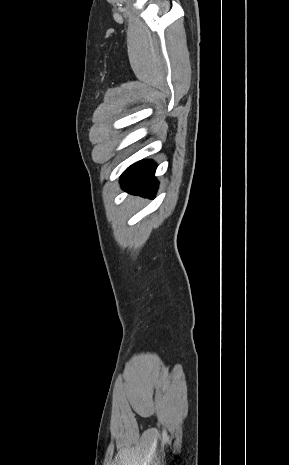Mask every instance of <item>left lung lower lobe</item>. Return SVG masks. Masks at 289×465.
Returning <instances> with one entry per match:
<instances>
[{"label":"left lung lower lobe","instance_id":"1","mask_svg":"<svg viewBox=\"0 0 289 465\" xmlns=\"http://www.w3.org/2000/svg\"><path fill=\"white\" fill-rule=\"evenodd\" d=\"M155 169L156 165L152 160H142L131 165L121 175L122 189L135 195L154 198L158 188Z\"/></svg>","mask_w":289,"mask_h":465}]
</instances>
